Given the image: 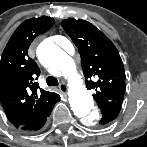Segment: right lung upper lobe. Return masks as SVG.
Returning a JSON list of instances; mask_svg holds the SVG:
<instances>
[{
  "instance_id": "obj_1",
  "label": "right lung upper lobe",
  "mask_w": 147,
  "mask_h": 147,
  "mask_svg": "<svg viewBox=\"0 0 147 147\" xmlns=\"http://www.w3.org/2000/svg\"><path fill=\"white\" fill-rule=\"evenodd\" d=\"M53 23L54 19L46 16L26 20L15 30L2 54L0 99L16 128L44 113L58 98V94L39 88L35 80L40 70L27 52L31 42Z\"/></svg>"
}]
</instances>
